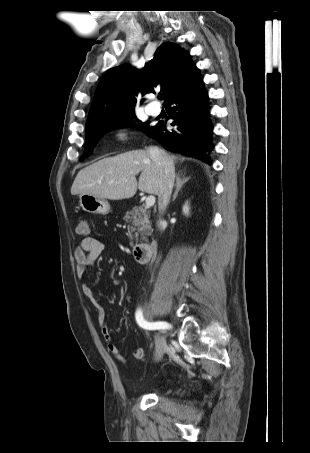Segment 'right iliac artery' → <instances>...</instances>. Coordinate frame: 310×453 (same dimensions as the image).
I'll list each match as a JSON object with an SVG mask.
<instances>
[{"label": "right iliac artery", "mask_w": 310, "mask_h": 453, "mask_svg": "<svg viewBox=\"0 0 310 453\" xmlns=\"http://www.w3.org/2000/svg\"><path fill=\"white\" fill-rule=\"evenodd\" d=\"M137 324L146 330L167 329L169 324L166 322H148L144 319L142 310L138 309L135 313Z\"/></svg>", "instance_id": "82829eb1"}]
</instances>
